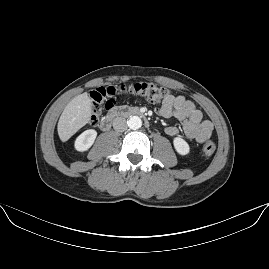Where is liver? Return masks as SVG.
I'll return each instance as SVG.
<instances>
[{
  "label": "liver",
  "instance_id": "obj_1",
  "mask_svg": "<svg viewBox=\"0 0 269 269\" xmlns=\"http://www.w3.org/2000/svg\"><path fill=\"white\" fill-rule=\"evenodd\" d=\"M92 101L85 92L73 98L63 110L58 122V135L66 142L91 118Z\"/></svg>",
  "mask_w": 269,
  "mask_h": 269
}]
</instances>
